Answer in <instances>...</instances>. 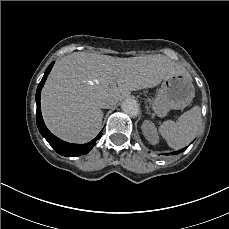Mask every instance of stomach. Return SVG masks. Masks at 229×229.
<instances>
[{"mask_svg":"<svg viewBox=\"0 0 229 229\" xmlns=\"http://www.w3.org/2000/svg\"><path fill=\"white\" fill-rule=\"evenodd\" d=\"M192 80L186 76L175 75L162 82L158 94L149 104V109L159 118H165L173 109H183L194 98Z\"/></svg>","mask_w":229,"mask_h":229,"instance_id":"1","label":"stomach"}]
</instances>
